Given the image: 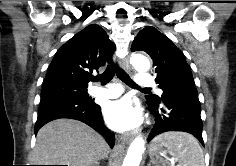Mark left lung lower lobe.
Wrapping results in <instances>:
<instances>
[{
    "label": "left lung lower lobe",
    "mask_w": 236,
    "mask_h": 166,
    "mask_svg": "<svg viewBox=\"0 0 236 166\" xmlns=\"http://www.w3.org/2000/svg\"><path fill=\"white\" fill-rule=\"evenodd\" d=\"M155 115L156 124L148 141L155 136L168 131H184L194 135L202 145L203 123L201 120V105L197 89L176 88L169 90L160 104L148 103Z\"/></svg>",
    "instance_id": "left-lung-lower-lobe-1"
}]
</instances>
